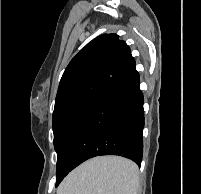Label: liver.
Segmentation results:
<instances>
[{
  "mask_svg": "<svg viewBox=\"0 0 201 194\" xmlns=\"http://www.w3.org/2000/svg\"><path fill=\"white\" fill-rule=\"evenodd\" d=\"M139 169L129 159L101 156L70 172L57 194H138Z\"/></svg>",
  "mask_w": 201,
  "mask_h": 194,
  "instance_id": "liver-1",
  "label": "liver"
}]
</instances>
